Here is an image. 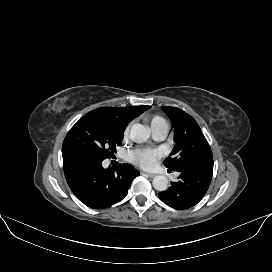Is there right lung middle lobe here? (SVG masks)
<instances>
[{"mask_svg":"<svg viewBox=\"0 0 272 272\" xmlns=\"http://www.w3.org/2000/svg\"><path fill=\"white\" fill-rule=\"evenodd\" d=\"M125 126L115 117L90 111L67 133L63 146V160L84 159L102 162L116 152L123 140Z\"/></svg>","mask_w":272,"mask_h":272,"instance_id":"right-lung-middle-lobe-1","label":"right lung middle lobe"}]
</instances>
